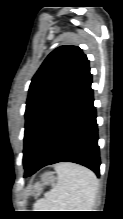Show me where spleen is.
I'll return each mask as SVG.
<instances>
[{
    "label": "spleen",
    "mask_w": 123,
    "mask_h": 219,
    "mask_svg": "<svg viewBox=\"0 0 123 219\" xmlns=\"http://www.w3.org/2000/svg\"><path fill=\"white\" fill-rule=\"evenodd\" d=\"M57 183L36 203L40 211H92L98 190L95 174L80 165L55 166Z\"/></svg>",
    "instance_id": "spleen-1"
}]
</instances>
